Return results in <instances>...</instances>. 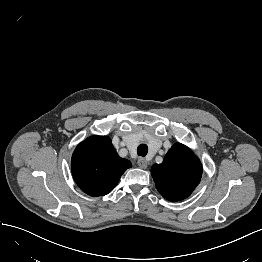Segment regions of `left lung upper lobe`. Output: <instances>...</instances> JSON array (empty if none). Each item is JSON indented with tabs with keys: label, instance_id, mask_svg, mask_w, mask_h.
<instances>
[{
	"label": "left lung upper lobe",
	"instance_id": "left-lung-upper-lobe-1",
	"mask_svg": "<svg viewBox=\"0 0 262 262\" xmlns=\"http://www.w3.org/2000/svg\"><path fill=\"white\" fill-rule=\"evenodd\" d=\"M151 175L165 199L180 201L187 198L199 184L202 165L188 147L176 143L161 164L152 166Z\"/></svg>",
	"mask_w": 262,
	"mask_h": 262
}]
</instances>
